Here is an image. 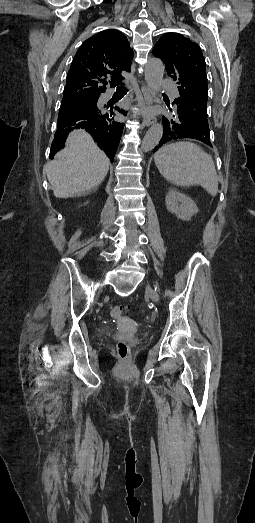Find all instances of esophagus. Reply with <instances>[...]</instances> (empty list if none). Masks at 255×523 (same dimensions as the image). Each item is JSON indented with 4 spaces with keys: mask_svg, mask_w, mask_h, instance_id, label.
Listing matches in <instances>:
<instances>
[{
    "mask_svg": "<svg viewBox=\"0 0 255 523\" xmlns=\"http://www.w3.org/2000/svg\"><path fill=\"white\" fill-rule=\"evenodd\" d=\"M141 91L143 93L144 101L146 107H151L155 103V98L152 89L148 85H142ZM139 114L142 115L145 125L149 127L150 125H153L156 121L155 114L148 113L146 108L139 107L138 110Z\"/></svg>",
    "mask_w": 255,
    "mask_h": 523,
    "instance_id": "obj_1",
    "label": "esophagus"
}]
</instances>
